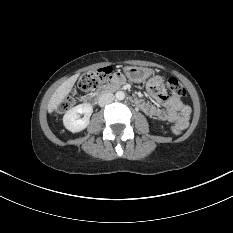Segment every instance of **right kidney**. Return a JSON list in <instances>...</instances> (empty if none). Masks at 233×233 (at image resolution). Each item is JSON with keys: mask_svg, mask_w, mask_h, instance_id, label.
<instances>
[{"mask_svg": "<svg viewBox=\"0 0 233 233\" xmlns=\"http://www.w3.org/2000/svg\"><path fill=\"white\" fill-rule=\"evenodd\" d=\"M92 112L93 107L87 103L77 105L68 110L63 117L65 128L72 133H77L84 130L89 125ZM80 114H84L82 119L79 118Z\"/></svg>", "mask_w": 233, "mask_h": 233, "instance_id": "right-kidney-1", "label": "right kidney"}]
</instances>
